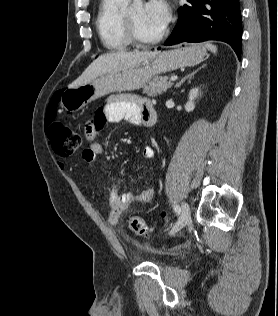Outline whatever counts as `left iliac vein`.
Here are the masks:
<instances>
[{"label": "left iliac vein", "instance_id": "4c4485c4", "mask_svg": "<svg viewBox=\"0 0 278 316\" xmlns=\"http://www.w3.org/2000/svg\"><path fill=\"white\" fill-rule=\"evenodd\" d=\"M190 220V208L189 205L186 202H183L181 204V214L177 221V223L174 225V227L169 232L170 235L175 234L179 230H181Z\"/></svg>", "mask_w": 278, "mask_h": 316}]
</instances>
